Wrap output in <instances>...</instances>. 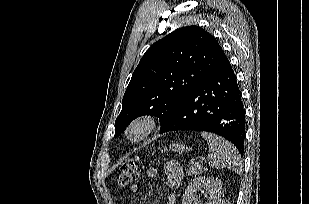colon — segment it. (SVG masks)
Instances as JSON below:
<instances>
[{
  "instance_id": "obj_1",
  "label": "colon",
  "mask_w": 309,
  "mask_h": 204,
  "mask_svg": "<svg viewBox=\"0 0 309 204\" xmlns=\"http://www.w3.org/2000/svg\"><path fill=\"white\" fill-rule=\"evenodd\" d=\"M141 172V163L138 159L130 160L121 166L118 183L121 187H127L137 179Z\"/></svg>"
}]
</instances>
